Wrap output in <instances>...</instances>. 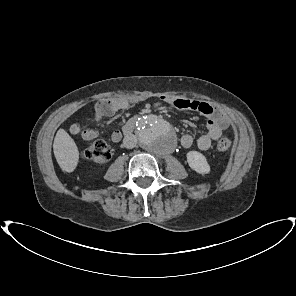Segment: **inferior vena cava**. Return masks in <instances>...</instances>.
<instances>
[{
	"mask_svg": "<svg viewBox=\"0 0 296 296\" xmlns=\"http://www.w3.org/2000/svg\"><path fill=\"white\" fill-rule=\"evenodd\" d=\"M136 144H137V138L133 134L126 135L123 139V145L128 149L134 148Z\"/></svg>",
	"mask_w": 296,
	"mask_h": 296,
	"instance_id": "inferior-vena-cava-1",
	"label": "inferior vena cava"
}]
</instances>
